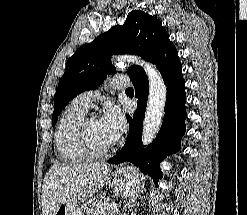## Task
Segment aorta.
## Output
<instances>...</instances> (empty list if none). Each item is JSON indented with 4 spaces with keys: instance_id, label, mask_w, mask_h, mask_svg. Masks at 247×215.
Instances as JSON below:
<instances>
[{
    "instance_id": "762f6f07",
    "label": "aorta",
    "mask_w": 247,
    "mask_h": 215,
    "mask_svg": "<svg viewBox=\"0 0 247 215\" xmlns=\"http://www.w3.org/2000/svg\"><path fill=\"white\" fill-rule=\"evenodd\" d=\"M118 65L137 64L144 68L149 79V96L143 121L142 143L148 146L155 139L164 117L167 89L164 80L154 65L133 55L115 57Z\"/></svg>"
}]
</instances>
